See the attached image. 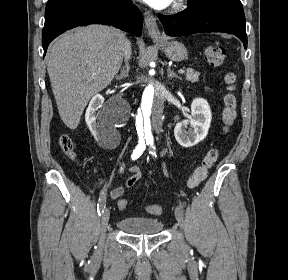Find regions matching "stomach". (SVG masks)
<instances>
[{"label":"stomach","instance_id":"stomach-1","mask_svg":"<svg viewBox=\"0 0 288 280\" xmlns=\"http://www.w3.org/2000/svg\"><path fill=\"white\" fill-rule=\"evenodd\" d=\"M164 54L173 61L187 59L188 52L186 47L178 41H159Z\"/></svg>","mask_w":288,"mask_h":280}]
</instances>
